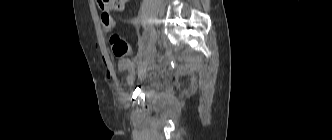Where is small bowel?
I'll list each match as a JSON object with an SVG mask.
<instances>
[{"label": "small bowel", "mask_w": 332, "mask_h": 140, "mask_svg": "<svg viewBox=\"0 0 332 140\" xmlns=\"http://www.w3.org/2000/svg\"><path fill=\"white\" fill-rule=\"evenodd\" d=\"M105 11H108L105 10ZM153 50L151 52V55L149 58H147V60L143 61V62H139L138 64L135 63V61L131 60V59H127V58H121L118 61V69L120 72H126L127 76V83L129 85L133 84L134 81L136 80V78L139 81H143L146 76H147V72L149 71V69L151 68V59L153 56ZM137 68V70H136Z\"/></svg>", "instance_id": "small-bowel-1"}]
</instances>
